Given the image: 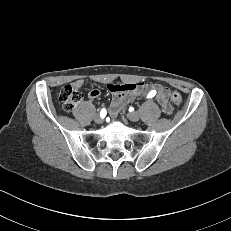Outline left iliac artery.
<instances>
[{
	"mask_svg": "<svg viewBox=\"0 0 231 231\" xmlns=\"http://www.w3.org/2000/svg\"><path fill=\"white\" fill-rule=\"evenodd\" d=\"M156 95V90H152L148 93L147 98H152Z\"/></svg>",
	"mask_w": 231,
	"mask_h": 231,
	"instance_id": "44dca946",
	"label": "left iliac artery"
}]
</instances>
